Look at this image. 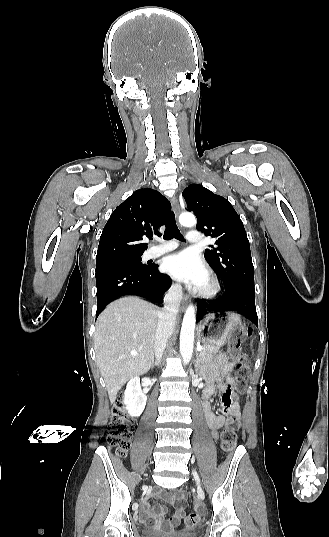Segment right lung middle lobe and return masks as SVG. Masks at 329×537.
<instances>
[{"instance_id": "right-lung-middle-lobe-1", "label": "right lung middle lobe", "mask_w": 329, "mask_h": 537, "mask_svg": "<svg viewBox=\"0 0 329 537\" xmlns=\"http://www.w3.org/2000/svg\"><path fill=\"white\" fill-rule=\"evenodd\" d=\"M106 264H109V265H120V266H134V267H138V268H140V269H145V268H147V265L141 263V257L130 258V259H122V260H116V261L108 262V263H106Z\"/></svg>"}]
</instances>
